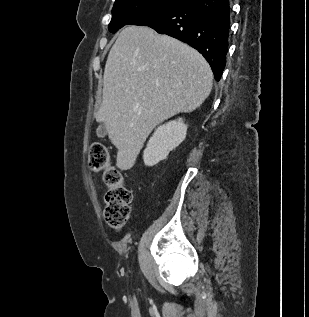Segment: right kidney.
Masks as SVG:
<instances>
[{"mask_svg": "<svg viewBox=\"0 0 309 317\" xmlns=\"http://www.w3.org/2000/svg\"><path fill=\"white\" fill-rule=\"evenodd\" d=\"M186 134L187 125L182 118L159 126L144 150L143 160L145 165L154 166L166 159L169 152L185 140Z\"/></svg>", "mask_w": 309, "mask_h": 317, "instance_id": "1", "label": "right kidney"}]
</instances>
